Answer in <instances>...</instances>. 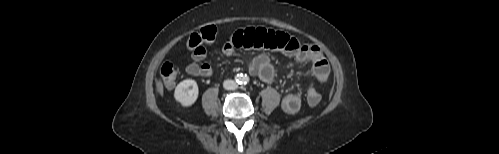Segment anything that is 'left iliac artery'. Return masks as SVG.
Here are the masks:
<instances>
[{
	"instance_id": "left-iliac-artery-1",
	"label": "left iliac artery",
	"mask_w": 499,
	"mask_h": 154,
	"mask_svg": "<svg viewBox=\"0 0 499 154\" xmlns=\"http://www.w3.org/2000/svg\"><path fill=\"white\" fill-rule=\"evenodd\" d=\"M243 84H248L249 83V77L247 75H244L243 76V80H242Z\"/></svg>"
}]
</instances>
